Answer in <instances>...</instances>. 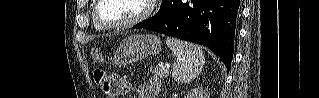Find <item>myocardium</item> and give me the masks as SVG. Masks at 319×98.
<instances>
[{
    "instance_id": "obj_1",
    "label": "myocardium",
    "mask_w": 319,
    "mask_h": 98,
    "mask_svg": "<svg viewBox=\"0 0 319 98\" xmlns=\"http://www.w3.org/2000/svg\"><path fill=\"white\" fill-rule=\"evenodd\" d=\"M101 1L103 0L95 1V5L93 8V19H94V22L103 29H121V28H128V27L137 25L150 17L152 12L154 11V7L156 3L155 0H142L143 10L139 14L134 16L133 18L128 19L126 21L116 22V23H107L101 18L99 14Z\"/></svg>"
}]
</instances>
